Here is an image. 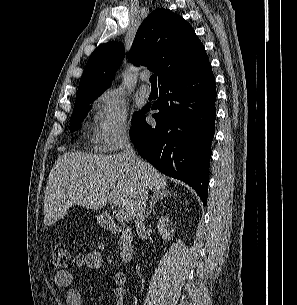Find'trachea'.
I'll return each instance as SVG.
<instances>
[{"instance_id": "trachea-1", "label": "trachea", "mask_w": 297, "mask_h": 305, "mask_svg": "<svg viewBox=\"0 0 297 305\" xmlns=\"http://www.w3.org/2000/svg\"><path fill=\"white\" fill-rule=\"evenodd\" d=\"M149 80H150L152 86H156V83H157V76L152 75V76H150V79H149Z\"/></svg>"}]
</instances>
